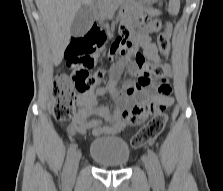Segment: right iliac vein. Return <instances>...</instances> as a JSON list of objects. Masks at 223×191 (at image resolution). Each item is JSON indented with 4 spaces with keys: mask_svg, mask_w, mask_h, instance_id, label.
Listing matches in <instances>:
<instances>
[{
    "mask_svg": "<svg viewBox=\"0 0 223 191\" xmlns=\"http://www.w3.org/2000/svg\"><path fill=\"white\" fill-rule=\"evenodd\" d=\"M81 159V152L77 151L74 153L72 161H71V167H70V177L74 178L77 174L79 162Z\"/></svg>",
    "mask_w": 223,
    "mask_h": 191,
    "instance_id": "63e3f726",
    "label": "right iliac vein"
}]
</instances>
